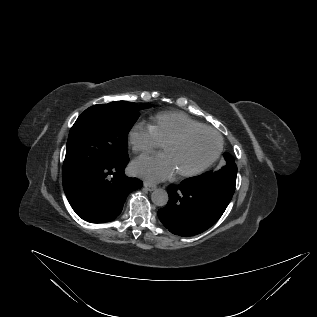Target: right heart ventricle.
<instances>
[{
  "label": "right heart ventricle",
  "instance_id": "obj_1",
  "mask_svg": "<svg viewBox=\"0 0 317 317\" xmlns=\"http://www.w3.org/2000/svg\"><path fill=\"white\" fill-rule=\"evenodd\" d=\"M150 127L162 145L186 129L204 127V125L185 113L167 111L156 114Z\"/></svg>",
  "mask_w": 317,
  "mask_h": 317
}]
</instances>
